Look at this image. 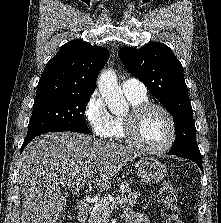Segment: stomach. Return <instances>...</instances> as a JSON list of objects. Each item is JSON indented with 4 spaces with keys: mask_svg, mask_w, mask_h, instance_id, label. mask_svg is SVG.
<instances>
[{
    "mask_svg": "<svg viewBox=\"0 0 221 223\" xmlns=\"http://www.w3.org/2000/svg\"><path fill=\"white\" fill-rule=\"evenodd\" d=\"M137 176L146 183H158L166 175V167L157 158L142 157L135 164Z\"/></svg>",
    "mask_w": 221,
    "mask_h": 223,
    "instance_id": "0dacf381",
    "label": "stomach"
}]
</instances>
